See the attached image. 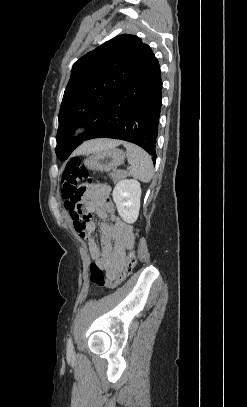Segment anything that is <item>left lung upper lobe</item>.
Wrapping results in <instances>:
<instances>
[{"instance_id":"1","label":"left lung upper lobe","mask_w":247,"mask_h":407,"mask_svg":"<svg viewBox=\"0 0 247 407\" xmlns=\"http://www.w3.org/2000/svg\"><path fill=\"white\" fill-rule=\"evenodd\" d=\"M151 48L135 35L117 36L81 57L65 89L58 119L56 155L66 160L95 129L118 93L153 58ZM77 126L87 130L71 138Z\"/></svg>"}]
</instances>
